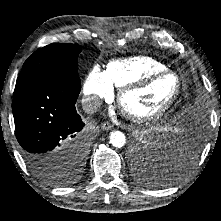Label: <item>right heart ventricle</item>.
<instances>
[{
    "label": "right heart ventricle",
    "mask_w": 221,
    "mask_h": 221,
    "mask_svg": "<svg viewBox=\"0 0 221 221\" xmlns=\"http://www.w3.org/2000/svg\"><path fill=\"white\" fill-rule=\"evenodd\" d=\"M167 66L148 56H134L110 61L104 71L112 86L121 88L147 74L164 71Z\"/></svg>",
    "instance_id": "1"
}]
</instances>
